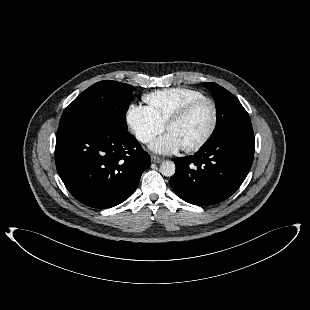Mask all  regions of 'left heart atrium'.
Returning <instances> with one entry per match:
<instances>
[{
	"label": "left heart atrium",
	"mask_w": 310,
	"mask_h": 310,
	"mask_svg": "<svg viewBox=\"0 0 310 310\" xmlns=\"http://www.w3.org/2000/svg\"><path fill=\"white\" fill-rule=\"evenodd\" d=\"M182 148L180 140L171 132H167L150 145L152 151L163 155L173 154Z\"/></svg>",
	"instance_id": "left-heart-atrium-1"
}]
</instances>
